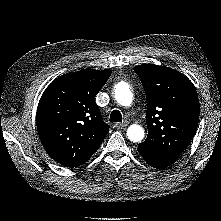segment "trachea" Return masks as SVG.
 <instances>
[{"label": "trachea", "instance_id": "1", "mask_svg": "<svg viewBox=\"0 0 221 221\" xmlns=\"http://www.w3.org/2000/svg\"><path fill=\"white\" fill-rule=\"evenodd\" d=\"M122 114L118 110H113L110 115L111 122H122Z\"/></svg>", "mask_w": 221, "mask_h": 221}]
</instances>
